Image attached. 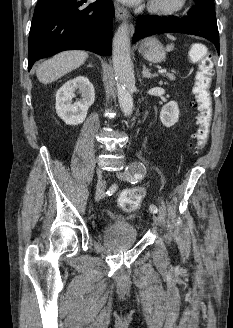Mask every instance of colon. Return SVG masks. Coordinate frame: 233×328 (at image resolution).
I'll list each match as a JSON object with an SVG mask.
<instances>
[{
    "instance_id": "colon-1",
    "label": "colon",
    "mask_w": 233,
    "mask_h": 328,
    "mask_svg": "<svg viewBox=\"0 0 233 328\" xmlns=\"http://www.w3.org/2000/svg\"><path fill=\"white\" fill-rule=\"evenodd\" d=\"M191 56L199 62L193 86V108L197 111V127L192 133L190 147L201 150L205 147L212 121V99L210 86L214 75L212 54L207 49L195 48ZM145 191L141 188H131L119 197V205L126 212L135 211L141 204Z\"/></svg>"
}]
</instances>
